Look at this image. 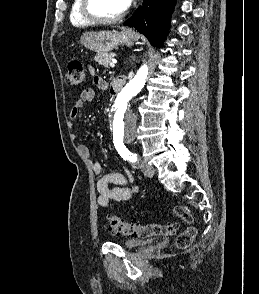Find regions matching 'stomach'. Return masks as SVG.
Instances as JSON below:
<instances>
[{
  "instance_id": "obj_1",
  "label": "stomach",
  "mask_w": 259,
  "mask_h": 294,
  "mask_svg": "<svg viewBox=\"0 0 259 294\" xmlns=\"http://www.w3.org/2000/svg\"><path fill=\"white\" fill-rule=\"evenodd\" d=\"M135 40V35L127 31H100L84 33L80 38V43L91 51L103 54L120 45L132 46Z\"/></svg>"
}]
</instances>
